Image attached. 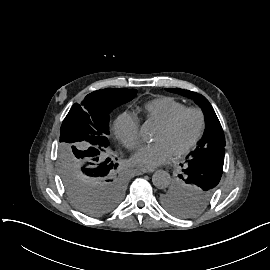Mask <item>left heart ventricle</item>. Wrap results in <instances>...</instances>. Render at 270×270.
<instances>
[{"instance_id":"left-heart-ventricle-1","label":"left heart ventricle","mask_w":270,"mask_h":270,"mask_svg":"<svg viewBox=\"0 0 270 270\" xmlns=\"http://www.w3.org/2000/svg\"><path fill=\"white\" fill-rule=\"evenodd\" d=\"M198 126V118L194 113H187L172 130L165 129L162 125L157 131L154 141H167L177 151L188 144L194 137Z\"/></svg>"}]
</instances>
